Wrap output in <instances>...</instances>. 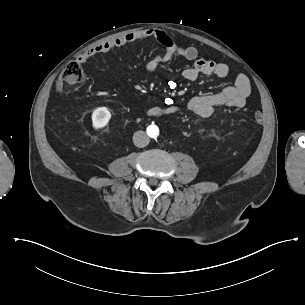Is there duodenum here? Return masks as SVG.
Returning <instances> with one entry per match:
<instances>
[{
  "label": "duodenum",
  "instance_id": "1",
  "mask_svg": "<svg viewBox=\"0 0 305 305\" xmlns=\"http://www.w3.org/2000/svg\"><path fill=\"white\" fill-rule=\"evenodd\" d=\"M151 113H152L153 115H159L160 113H162V110L159 109V108H155V109H153V110L151 111Z\"/></svg>",
  "mask_w": 305,
  "mask_h": 305
}]
</instances>
